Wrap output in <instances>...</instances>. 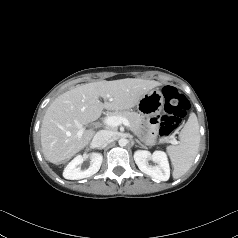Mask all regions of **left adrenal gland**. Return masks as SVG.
<instances>
[{
	"instance_id": "left-adrenal-gland-1",
	"label": "left adrenal gland",
	"mask_w": 238,
	"mask_h": 238,
	"mask_svg": "<svg viewBox=\"0 0 238 238\" xmlns=\"http://www.w3.org/2000/svg\"><path fill=\"white\" fill-rule=\"evenodd\" d=\"M136 142H137L139 145L143 146V145L140 143V141L136 140Z\"/></svg>"
}]
</instances>
